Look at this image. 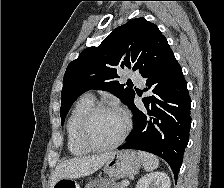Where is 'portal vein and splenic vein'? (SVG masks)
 <instances>
[{"label":"portal vein and splenic vein","mask_w":224,"mask_h":188,"mask_svg":"<svg viewBox=\"0 0 224 188\" xmlns=\"http://www.w3.org/2000/svg\"><path fill=\"white\" fill-rule=\"evenodd\" d=\"M122 183H123L124 186H128L129 185V181L128 180H124Z\"/></svg>","instance_id":"portal-vein-and-splenic-vein-1"}]
</instances>
